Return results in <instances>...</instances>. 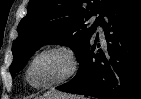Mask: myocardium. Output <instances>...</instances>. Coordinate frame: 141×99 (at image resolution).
I'll list each match as a JSON object with an SVG mask.
<instances>
[{"label":"myocardium","instance_id":"f54148a6","mask_svg":"<svg viewBox=\"0 0 141 99\" xmlns=\"http://www.w3.org/2000/svg\"><path fill=\"white\" fill-rule=\"evenodd\" d=\"M50 52H61V53L65 54L70 61V69L65 76H63L62 78H60L58 80H55L53 82H50V83H47L44 85H35L30 80V71H31L34 63L36 62V60L39 57H41L42 55H44L46 53H50ZM79 67H80V62H79L78 55H77L76 51L71 46L65 45V44L52 45V46H48V47L40 50L32 57V59L30 60L28 66L26 68L25 77H26V81L28 82V84L30 86H32L33 88H35V89H49V88L61 85L65 82H68L69 80H71L77 74Z\"/></svg>","mask_w":141,"mask_h":99}]
</instances>
